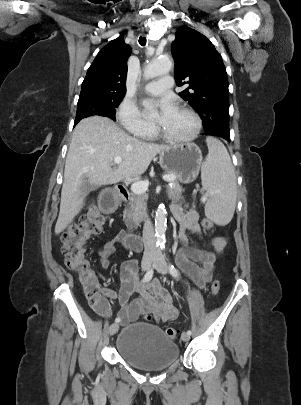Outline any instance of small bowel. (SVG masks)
I'll list each match as a JSON object with an SVG mask.
<instances>
[{"mask_svg": "<svg viewBox=\"0 0 301 405\" xmlns=\"http://www.w3.org/2000/svg\"><path fill=\"white\" fill-rule=\"evenodd\" d=\"M171 211L180 225L178 237L182 247L177 252V264L198 287L204 288L213 278L217 254L224 250L227 241L221 236L213 238L211 241L213 251H204L191 246L186 232L202 233L198 212L193 208L185 209L180 204H172ZM124 237L125 231L120 230L98 251L99 262L104 269L109 268L110 257L115 252L116 245L123 243ZM120 277L119 291L106 288L102 293L107 299L118 303V317L122 324H128L147 314L152 315L158 322H169L177 318L179 310L172 294L162 287L157 279L145 285L137 283V263L134 260L121 264Z\"/></svg>", "mask_w": 301, "mask_h": 405, "instance_id": "obj_1", "label": "small bowel"}]
</instances>
